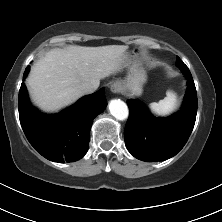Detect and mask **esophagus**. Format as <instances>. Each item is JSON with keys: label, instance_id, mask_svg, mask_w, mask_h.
Returning <instances> with one entry per match:
<instances>
[{"label": "esophagus", "instance_id": "obj_1", "mask_svg": "<svg viewBox=\"0 0 222 222\" xmlns=\"http://www.w3.org/2000/svg\"><path fill=\"white\" fill-rule=\"evenodd\" d=\"M121 85H119V84H117V83H115V84H113L112 86H111V91L113 92V93H119L120 91H121Z\"/></svg>", "mask_w": 222, "mask_h": 222}]
</instances>
